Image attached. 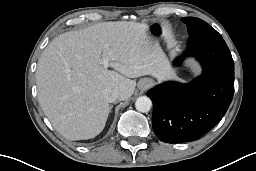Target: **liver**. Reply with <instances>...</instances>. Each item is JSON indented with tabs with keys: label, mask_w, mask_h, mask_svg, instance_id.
<instances>
[{
	"label": "liver",
	"mask_w": 256,
	"mask_h": 171,
	"mask_svg": "<svg viewBox=\"0 0 256 171\" xmlns=\"http://www.w3.org/2000/svg\"><path fill=\"white\" fill-rule=\"evenodd\" d=\"M104 59L113 70L104 67ZM167 64L142 23L104 22L66 32L54 38L39 58V103L63 137L91 139L101 133L108 118L104 89H116L119 100H127L136 87L131 78L151 75L162 79Z\"/></svg>",
	"instance_id": "obj_1"
}]
</instances>
